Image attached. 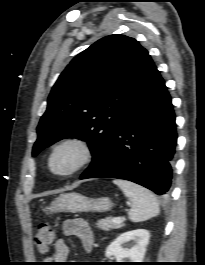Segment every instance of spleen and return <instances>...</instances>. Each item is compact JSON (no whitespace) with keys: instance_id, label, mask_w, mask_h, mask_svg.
Segmentation results:
<instances>
[{"instance_id":"3e777b00","label":"spleen","mask_w":205,"mask_h":265,"mask_svg":"<svg viewBox=\"0 0 205 265\" xmlns=\"http://www.w3.org/2000/svg\"><path fill=\"white\" fill-rule=\"evenodd\" d=\"M113 183L121 188L132 203V208L129 211L132 222H142L156 217L160 213L156 197L146 188L126 180L116 179Z\"/></svg>"}]
</instances>
